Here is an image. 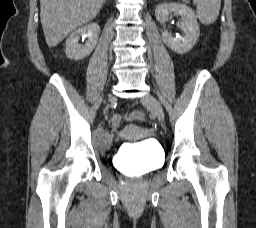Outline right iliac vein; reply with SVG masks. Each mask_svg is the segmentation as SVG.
I'll return each mask as SVG.
<instances>
[{
	"mask_svg": "<svg viewBox=\"0 0 256 228\" xmlns=\"http://www.w3.org/2000/svg\"><path fill=\"white\" fill-rule=\"evenodd\" d=\"M113 98H114V97L111 95V96L109 97V100L111 101ZM108 108H109V105L106 106V108H105V113L107 112Z\"/></svg>",
	"mask_w": 256,
	"mask_h": 228,
	"instance_id": "1",
	"label": "right iliac vein"
}]
</instances>
